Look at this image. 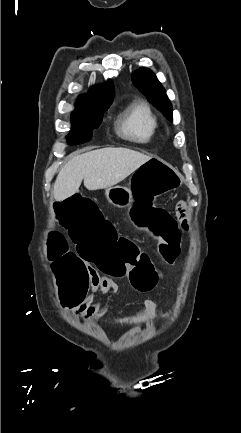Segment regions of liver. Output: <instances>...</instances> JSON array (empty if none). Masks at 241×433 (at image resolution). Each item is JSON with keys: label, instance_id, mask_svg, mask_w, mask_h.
<instances>
[{"label": "liver", "instance_id": "obj_1", "mask_svg": "<svg viewBox=\"0 0 241 433\" xmlns=\"http://www.w3.org/2000/svg\"><path fill=\"white\" fill-rule=\"evenodd\" d=\"M151 157L126 148H103L73 157L59 171L54 198L61 202L78 192L82 180L88 190L112 187Z\"/></svg>", "mask_w": 241, "mask_h": 433}]
</instances>
